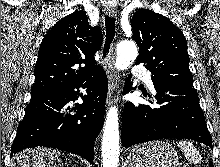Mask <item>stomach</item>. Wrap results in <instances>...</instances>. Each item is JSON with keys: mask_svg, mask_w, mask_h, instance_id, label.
<instances>
[{"mask_svg": "<svg viewBox=\"0 0 220 167\" xmlns=\"http://www.w3.org/2000/svg\"><path fill=\"white\" fill-rule=\"evenodd\" d=\"M126 161L129 167H180L178 154L164 141H154L129 149Z\"/></svg>", "mask_w": 220, "mask_h": 167, "instance_id": "stomach-1", "label": "stomach"}]
</instances>
